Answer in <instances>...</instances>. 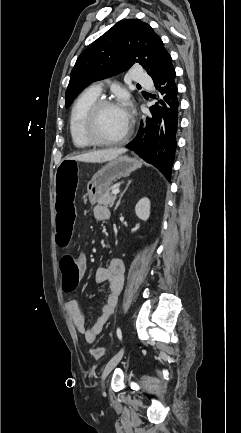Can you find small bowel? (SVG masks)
<instances>
[{
	"label": "small bowel",
	"instance_id": "c3829d8e",
	"mask_svg": "<svg viewBox=\"0 0 241 433\" xmlns=\"http://www.w3.org/2000/svg\"><path fill=\"white\" fill-rule=\"evenodd\" d=\"M57 172V170H56ZM56 182V180H55ZM55 188V187H54ZM96 220H106L110 216L109 209L104 205H96L93 208ZM78 268L81 274L87 269V259L84 254L78 258ZM124 264L118 258H111L106 266H100L95 272L97 283H108V293L102 303L101 315L92 326H88L77 301L69 300L65 303L66 312L76 330L84 337L87 343H94L103 329V326L114 313L119 295L123 286Z\"/></svg>",
	"mask_w": 241,
	"mask_h": 433
}]
</instances>
